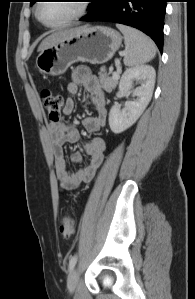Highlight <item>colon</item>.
<instances>
[{
	"label": "colon",
	"mask_w": 195,
	"mask_h": 299,
	"mask_svg": "<svg viewBox=\"0 0 195 299\" xmlns=\"http://www.w3.org/2000/svg\"><path fill=\"white\" fill-rule=\"evenodd\" d=\"M43 107L51 122H59L64 105L63 96L51 89L44 88L41 91ZM75 219L71 215L63 217L60 224V232L64 237H70L75 231Z\"/></svg>",
	"instance_id": "5ec220e1"
}]
</instances>
